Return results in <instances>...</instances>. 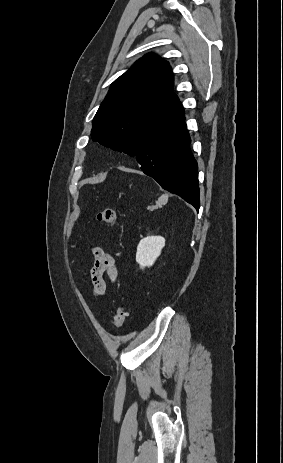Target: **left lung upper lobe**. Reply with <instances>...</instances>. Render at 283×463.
Returning <instances> with one entry per match:
<instances>
[{
    "label": "left lung upper lobe",
    "mask_w": 283,
    "mask_h": 463,
    "mask_svg": "<svg viewBox=\"0 0 283 463\" xmlns=\"http://www.w3.org/2000/svg\"><path fill=\"white\" fill-rule=\"evenodd\" d=\"M172 89L168 62L154 54L145 55L112 83L94 117L92 139L135 157L156 132L183 111Z\"/></svg>",
    "instance_id": "1"
}]
</instances>
